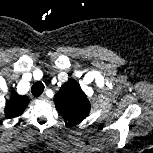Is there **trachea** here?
<instances>
[{"label": "trachea", "instance_id": "trachea-1", "mask_svg": "<svg viewBox=\"0 0 153 153\" xmlns=\"http://www.w3.org/2000/svg\"><path fill=\"white\" fill-rule=\"evenodd\" d=\"M44 91V85L41 82H36L32 85L31 92L34 97H39Z\"/></svg>", "mask_w": 153, "mask_h": 153}]
</instances>
